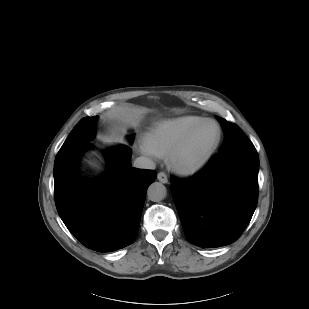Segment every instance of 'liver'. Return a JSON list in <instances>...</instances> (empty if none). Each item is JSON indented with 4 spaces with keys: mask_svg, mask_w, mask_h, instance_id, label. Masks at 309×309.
<instances>
[{
    "mask_svg": "<svg viewBox=\"0 0 309 309\" xmlns=\"http://www.w3.org/2000/svg\"><path fill=\"white\" fill-rule=\"evenodd\" d=\"M111 141L121 142L122 140L120 138H113Z\"/></svg>",
    "mask_w": 309,
    "mask_h": 309,
    "instance_id": "obj_1",
    "label": "liver"
}]
</instances>
